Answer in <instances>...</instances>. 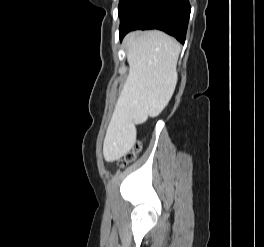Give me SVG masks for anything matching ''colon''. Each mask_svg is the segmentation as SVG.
Masks as SVG:
<instances>
[{"label": "colon", "mask_w": 264, "mask_h": 247, "mask_svg": "<svg viewBox=\"0 0 264 247\" xmlns=\"http://www.w3.org/2000/svg\"><path fill=\"white\" fill-rule=\"evenodd\" d=\"M140 150V145L139 144H137L136 146H135V148L131 151V152H129L127 155H125L122 159H121V161H120V165L122 166V167H125V166H127L134 158H135V154H136V152H138Z\"/></svg>", "instance_id": "colon-1"}]
</instances>
